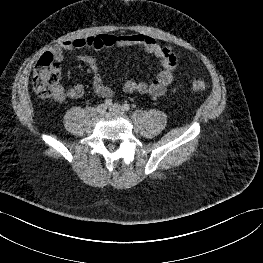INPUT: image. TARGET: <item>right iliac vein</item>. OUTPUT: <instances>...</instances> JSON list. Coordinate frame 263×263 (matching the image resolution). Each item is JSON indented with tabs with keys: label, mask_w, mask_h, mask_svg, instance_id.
<instances>
[{
	"label": "right iliac vein",
	"mask_w": 263,
	"mask_h": 263,
	"mask_svg": "<svg viewBox=\"0 0 263 263\" xmlns=\"http://www.w3.org/2000/svg\"><path fill=\"white\" fill-rule=\"evenodd\" d=\"M107 110V106L105 104H100L97 106V112L100 114L105 113Z\"/></svg>",
	"instance_id": "1"
}]
</instances>
